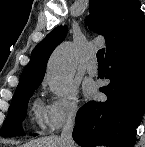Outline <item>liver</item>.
<instances>
[{
  "mask_svg": "<svg viewBox=\"0 0 145 147\" xmlns=\"http://www.w3.org/2000/svg\"><path fill=\"white\" fill-rule=\"evenodd\" d=\"M58 136H49L30 141L21 147H63Z\"/></svg>",
  "mask_w": 145,
  "mask_h": 147,
  "instance_id": "6515ba94",
  "label": "liver"
}]
</instances>
